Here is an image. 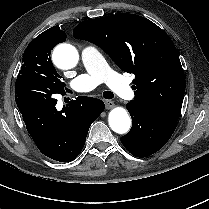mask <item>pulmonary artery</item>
<instances>
[{
	"instance_id": "pulmonary-artery-1",
	"label": "pulmonary artery",
	"mask_w": 209,
	"mask_h": 209,
	"mask_svg": "<svg viewBox=\"0 0 209 209\" xmlns=\"http://www.w3.org/2000/svg\"><path fill=\"white\" fill-rule=\"evenodd\" d=\"M81 59L86 73L77 76L71 87L74 91L86 93L101 82H105L120 98L130 100L134 92L117 74L112 72L95 45L89 44L81 50Z\"/></svg>"
}]
</instances>
